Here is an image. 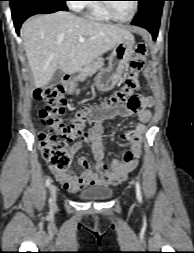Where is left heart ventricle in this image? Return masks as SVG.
<instances>
[{
    "label": "left heart ventricle",
    "mask_w": 194,
    "mask_h": 253,
    "mask_svg": "<svg viewBox=\"0 0 194 253\" xmlns=\"http://www.w3.org/2000/svg\"><path fill=\"white\" fill-rule=\"evenodd\" d=\"M114 13L120 18H127L131 15L134 2L133 1H115L110 3Z\"/></svg>",
    "instance_id": "1"
}]
</instances>
